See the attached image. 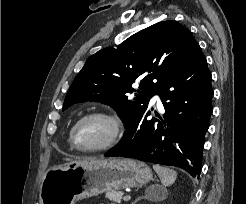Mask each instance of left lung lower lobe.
<instances>
[{
  "instance_id": "1",
  "label": "left lung lower lobe",
  "mask_w": 246,
  "mask_h": 204,
  "mask_svg": "<svg viewBox=\"0 0 246 204\" xmlns=\"http://www.w3.org/2000/svg\"><path fill=\"white\" fill-rule=\"evenodd\" d=\"M155 94L161 98L164 114L156 112V117L147 120V106L105 156L177 166L199 177L204 136L213 111L211 73L199 44L152 96Z\"/></svg>"
}]
</instances>
